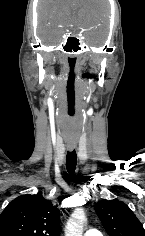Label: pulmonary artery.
<instances>
[{
	"mask_svg": "<svg viewBox=\"0 0 145 236\" xmlns=\"http://www.w3.org/2000/svg\"><path fill=\"white\" fill-rule=\"evenodd\" d=\"M84 236H102V234L97 229L90 228L85 232Z\"/></svg>",
	"mask_w": 145,
	"mask_h": 236,
	"instance_id": "1",
	"label": "pulmonary artery"
}]
</instances>
